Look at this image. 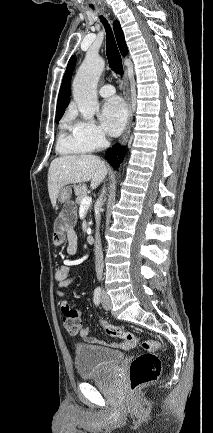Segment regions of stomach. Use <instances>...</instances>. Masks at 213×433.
<instances>
[{
    "mask_svg": "<svg viewBox=\"0 0 213 433\" xmlns=\"http://www.w3.org/2000/svg\"><path fill=\"white\" fill-rule=\"evenodd\" d=\"M72 194V189L70 186H64L61 188L58 194V201L62 204H69Z\"/></svg>",
    "mask_w": 213,
    "mask_h": 433,
    "instance_id": "stomach-1",
    "label": "stomach"
}]
</instances>
